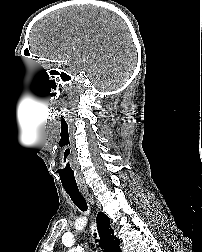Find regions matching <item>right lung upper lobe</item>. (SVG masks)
I'll use <instances>...</instances> for the list:
<instances>
[{
    "mask_svg": "<svg viewBox=\"0 0 202 252\" xmlns=\"http://www.w3.org/2000/svg\"><path fill=\"white\" fill-rule=\"evenodd\" d=\"M96 219L100 241L105 252H121L119 248L120 240L114 236L108 216L99 212Z\"/></svg>",
    "mask_w": 202,
    "mask_h": 252,
    "instance_id": "obj_1",
    "label": "right lung upper lobe"
}]
</instances>
